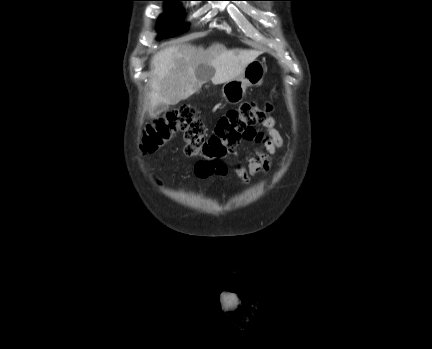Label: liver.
<instances>
[{
    "label": "liver",
    "instance_id": "liver-1",
    "mask_svg": "<svg viewBox=\"0 0 432 349\" xmlns=\"http://www.w3.org/2000/svg\"><path fill=\"white\" fill-rule=\"evenodd\" d=\"M260 54L252 49H227L219 43L207 49L180 44L160 50L152 59L150 116L155 117L159 104L176 105L198 92L206 81L202 69H213L214 85L226 83L240 76Z\"/></svg>",
    "mask_w": 432,
    "mask_h": 349
}]
</instances>
